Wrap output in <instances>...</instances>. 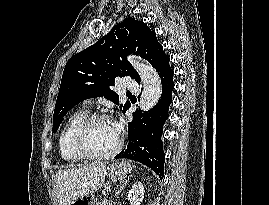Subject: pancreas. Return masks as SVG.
Returning <instances> with one entry per match:
<instances>
[{
    "mask_svg": "<svg viewBox=\"0 0 269 205\" xmlns=\"http://www.w3.org/2000/svg\"><path fill=\"white\" fill-rule=\"evenodd\" d=\"M95 205H112L110 200L104 199L101 202L96 203Z\"/></svg>",
    "mask_w": 269,
    "mask_h": 205,
    "instance_id": "obj_1",
    "label": "pancreas"
}]
</instances>
